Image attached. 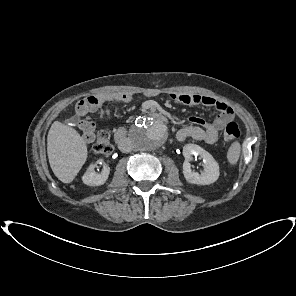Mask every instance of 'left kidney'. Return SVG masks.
Segmentation results:
<instances>
[{"mask_svg":"<svg viewBox=\"0 0 296 296\" xmlns=\"http://www.w3.org/2000/svg\"><path fill=\"white\" fill-rule=\"evenodd\" d=\"M183 174L190 184L208 185L214 183L219 178V165L213 156L196 144H186L183 147ZM199 156L203 160V171L195 172L191 169L190 161L193 157Z\"/></svg>","mask_w":296,"mask_h":296,"instance_id":"left-kidney-1","label":"left kidney"}]
</instances>
